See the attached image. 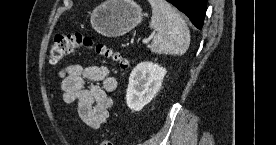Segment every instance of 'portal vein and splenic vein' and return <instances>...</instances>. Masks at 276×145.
<instances>
[{
    "mask_svg": "<svg viewBox=\"0 0 276 145\" xmlns=\"http://www.w3.org/2000/svg\"><path fill=\"white\" fill-rule=\"evenodd\" d=\"M148 42H149L148 39H143V40H142V43H143V44H148Z\"/></svg>",
    "mask_w": 276,
    "mask_h": 145,
    "instance_id": "obj_1",
    "label": "portal vein and splenic vein"
}]
</instances>
